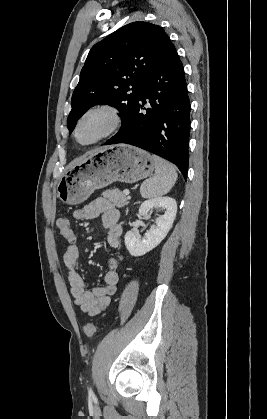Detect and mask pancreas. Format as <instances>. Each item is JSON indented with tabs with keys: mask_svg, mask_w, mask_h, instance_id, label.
Segmentation results:
<instances>
[{
	"mask_svg": "<svg viewBox=\"0 0 267 419\" xmlns=\"http://www.w3.org/2000/svg\"><path fill=\"white\" fill-rule=\"evenodd\" d=\"M102 195L118 208H122L128 204L126 195L117 188L106 190Z\"/></svg>",
	"mask_w": 267,
	"mask_h": 419,
	"instance_id": "cf45deb5",
	"label": "pancreas"
}]
</instances>
